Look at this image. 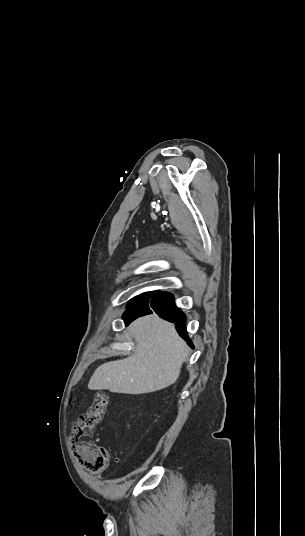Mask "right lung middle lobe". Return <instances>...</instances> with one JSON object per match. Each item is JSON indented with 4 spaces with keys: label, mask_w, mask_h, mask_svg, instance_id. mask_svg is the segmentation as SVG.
Returning a JSON list of instances; mask_svg holds the SVG:
<instances>
[{
    "label": "right lung middle lobe",
    "mask_w": 305,
    "mask_h": 536,
    "mask_svg": "<svg viewBox=\"0 0 305 536\" xmlns=\"http://www.w3.org/2000/svg\"><path fill=\"white\" fill-rule=\"evenodd\" d=\"M148 293H143L139 296H136L134 297L132 300H130L127 304V307H130L131 305H133L135 302H137L139 299H141L143 296L147 295Z\"/></svg>",
    "instance_id": "obj_1"
}]
</instances>
